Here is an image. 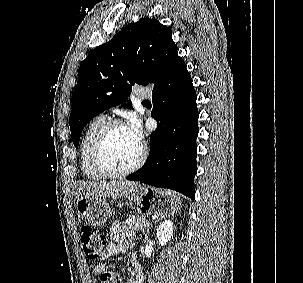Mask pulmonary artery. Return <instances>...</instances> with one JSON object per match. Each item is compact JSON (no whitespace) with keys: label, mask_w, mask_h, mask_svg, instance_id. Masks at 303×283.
<instances>
[{"label":"pulmonary artery","mask_w":303,"mask_h":283,"mask_svg":"<svg viewBox=\"0 0 303 283\" xmlns=\"http://www.w3.org/2000/svg\"><path fill=\"white\" fill-rule=\"evenodd\" d=\"M135 95L137 98L147 99V98L151 97L152 93H151L150 89H148V88L139 87L135 91Z\"/></svg>","instance_id":"obj_1"}]
</instances>
